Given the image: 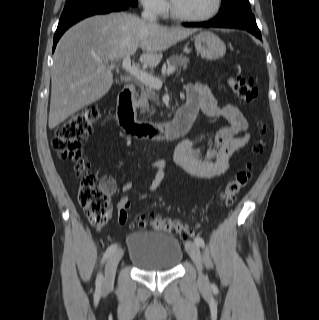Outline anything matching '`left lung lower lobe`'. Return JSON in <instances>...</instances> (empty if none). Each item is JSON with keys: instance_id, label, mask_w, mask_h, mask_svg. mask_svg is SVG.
Listing matches in <instances>:
<instances>
[{"instance_id": "left-lung-lower-lobe-1", "label": "left lung lower lobe", "mask_w": 319, "mask_h": 320, "mask_svg": "<svg viewBox=\"0 0 319 320\" xmlns=\"http://www.w3.org/2000/svg\"><path fill=\"white\" fill-rule=\"evenodd\" d=\"M183 25L186 27L238 28L252 33L259 39L261 38V33L251 10H232L225 14H218L208 22L184 23Z\"/></svg>"}]
</instances>
